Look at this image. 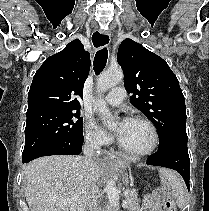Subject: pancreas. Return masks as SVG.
Masks as SVG:
<instances>
[{"label":"pancreas","mask_w":209,"mask_h":211,"mask_svg":"<svg viewBox=\"0 0 209 211\" xmlns=\"http://www.w3.org/2000/svg\"><path fill=\"white\" fill-rule=\"evenodd\" d=\"M125 200L128 205V211H139V200L138 192L135 189L130 190V192L125 196Z\"/></svg>","instance_id":"obj_1"}]
</instances>
